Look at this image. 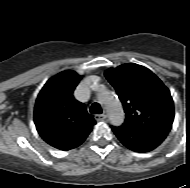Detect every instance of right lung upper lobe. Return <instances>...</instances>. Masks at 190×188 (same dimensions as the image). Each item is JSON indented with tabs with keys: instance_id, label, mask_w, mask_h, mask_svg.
<instances>
[{
	"instance_id": "obj_1",
	"label": "right lung upper lobe",
	"mask_w": 190,
	"mask_h": 188,
	"mask_svg": "<svg viewBox=\"0 0 190 188\" xmlns=\"http://www.w3.org/2000/svg\"><path fill=\"white\" fill-rule=\"evenodd\" d=\"M81 78L74 71H63L47 81L36 99L37 131L45 142L59 150L78 147L96 123L84 104L73 96Z\"/></svg>"
}]
</instances>
